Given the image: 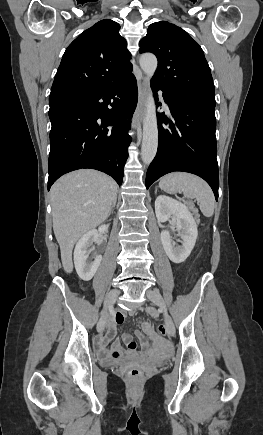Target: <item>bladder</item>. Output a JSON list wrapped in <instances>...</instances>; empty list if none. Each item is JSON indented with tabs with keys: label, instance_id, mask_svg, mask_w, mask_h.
Returning a JSON list of instances; mask_svg holds the SVG:
<instances>
[{
	"label": "bladder",
	"instance_id": "31cf9c89",
	"mask_svg": "<svg viewBox=\"0 0 263 435\" xmlns=\"http://www.w3.org/2000/svg\"><path fill=\"white\" fill-rule=\"evenodd\" d=\"M108 363H109V364H116V363H118V361L109 360Z\"/></svg>",
	"mask_w": 263,
	"mask_h": 435
}]
</instances>
